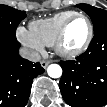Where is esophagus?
Wrapping results in <instances>:
<instances>
[{"label": "esophagus", "instance_id": "esophagus-1", "mask_svg": "<svg viewBox=\"0 0 107 107\" xmlns=\"http://www.w3.org/2000/svg\"><path fill=\"white\" fill-rule=\"evenodd\" d=\"M40 63L43 68H46L51 63V60H42Z\"/></svg>", "mask_w": 107, "mask_h": 107}]
</instances>
